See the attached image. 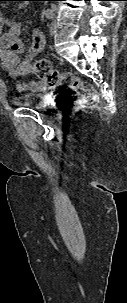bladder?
<instances>
[{"instance_id": "31cf9c89", "label": "bladder", "mask_w": 127, "mask_h": 303, "mask_svg": "<svg viewBox=\"0 0 127 303\" xmlns=\"http://www.w3.org/2000/svg\"><path fill=\"white\" fill-rule=\"evenodd\" d=\"M12 101L13 104L23 108L44 110L47 107L46 103L42 99V95L37 93L21 94L14 97Z\"/></svg>"}]
</instances>
